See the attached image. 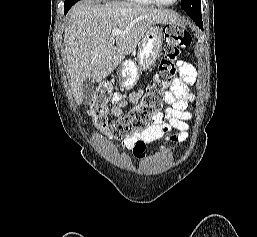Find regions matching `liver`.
Masks as SVG:
<instances>
[{
	"instance_id": "6515ba94",
	"label": "liver",
	"mask_w": 257,
	"mask_h": 237,
	"mask_svg": "<svg viewBox=\"0 0 257 237\" xmlns=\"http://www.w3.org/2000/svg\"><path fill=\"white\" fill-rule=\"evenodd\" d=\"M166 10L124 2L78 3L68 13L64 42L73 97L83 101L82 85L87 77L101 82L132 53L149 27L176 23ZM123 33L112 40V30Z\"/></svg>"
}]
</instances>
